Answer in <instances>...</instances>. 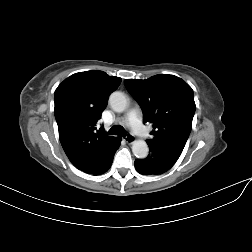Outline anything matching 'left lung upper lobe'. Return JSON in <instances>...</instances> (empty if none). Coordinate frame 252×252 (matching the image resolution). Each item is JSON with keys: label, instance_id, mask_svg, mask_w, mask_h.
Listing matches in <instances>:
<instances>
[{"label": "left lung upper lobe", "instance_id": "left-lung-upper-lobe-1", "mask_svg": "<svg viewBox=\"0 0 252 252\" xmlns=\"http://www.w3.org/2000/svg\"><path fill=\"white\" fill-rule=\"evenodd\" d=\"M124 83L139 103L144 121L153 124V138L147 142L182 153L196 109L192 88L181 78L168 74L146 80L126 79Z\"/></svg>", "mask_w": 252, "mask_h": 252}]
</instances>
